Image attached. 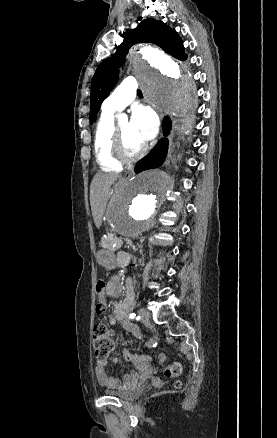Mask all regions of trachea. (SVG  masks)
I'll return each instance as SVG.
<instances>
[{
  "instance_id": "3493384b",
  "label": "trachea",
  "mask_w": 277,
  "mask_h": 438,
  "mask_svg": "<svg viewBox=\"0 0 277 438\" xmlns=\"http://www.w3.org/2000/svg\"><path fill=\"white\" fill-rule=\"evenodd\" d=\"M138 95H142L141 90H137Z\"/></svg>"
}]
</instances>
